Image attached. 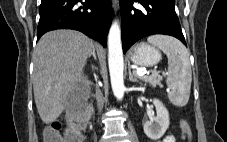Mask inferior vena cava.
I'll return each instance as SVG.
<instances>
[{
  "label": "inferior vena cava",
  "instance_id": "1",
  "mask_svg": "<svg viewBox=\"0 0 227 142\" xmlns=\"http://www.w3.org/2000/svg\"><path fill=\"white\" fill-rule=\"evenodd\" d=\"M96 100H97L98 109H99V111H101L103 108L104 99H103V95L100 91H98L96 93Z\"/></svg>",
  "mask_w": 227,
  "mask_h": 142
}]
</instances>
